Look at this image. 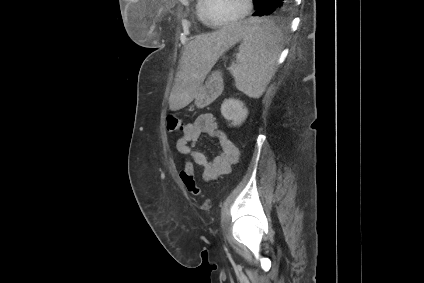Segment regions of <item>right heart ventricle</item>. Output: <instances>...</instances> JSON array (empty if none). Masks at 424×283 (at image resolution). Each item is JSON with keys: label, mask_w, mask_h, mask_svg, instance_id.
I'll use <instances>...</instances> for the list:
<instances>
[{"label": "right heart ventricle", "mask_w": 424, "mask_h": 283, "mask_svg": "<svg viewBox=\"0 0 424 283\" xmlns=\"http://www.w3.org/2000/svg\"><path fill=\"white\" fill-rule=\"evenodd\" d=\"M203 7H204V0H196V4H195L196 17L201 23L206 24L203 18Z\"/></svg>", "instance_id": "e07e8e85"}]
</instances>
